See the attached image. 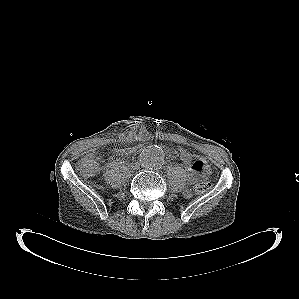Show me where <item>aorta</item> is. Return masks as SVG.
I'll return each mask as SVG.
<instances>
[{"label": "aorta", "instance_id": "1", "mask_svg": "<svg viewBox=\"0 0 299 299\" xmlns=\"http://www.w3.org/2000/svg\"><path fill=\"white\" fill-rule=\"evenodd\" d=\"M141 164L148 169L159 168L164 163V153L161 147L151 145L140 154Z\"/></svg>", "mask_w": 299, "mask_h": 299}]
</instances>
